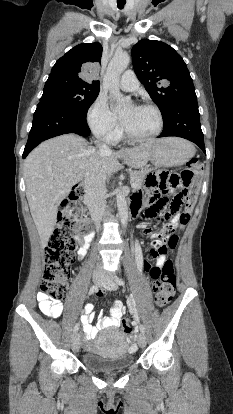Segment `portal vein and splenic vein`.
I'll return each mask as SVG.
<instances>
[{
  "label": "portal vein and splenic vein",
  "instance_id": "portal-vein-and-splenic-vein-1",
  "mask_svg": "<svg viewBox=\"0 0 233 414\" xmlns=\"http://www.w3.org/2000/svg\"><path fill=\"white\" fill-rule=\"evenodd\" d=\"M134 186V184L133 183H131V187H133Z\"/></svg>",
  "mask_w": 233,
  "mask_h": 414
}]
</instances>
